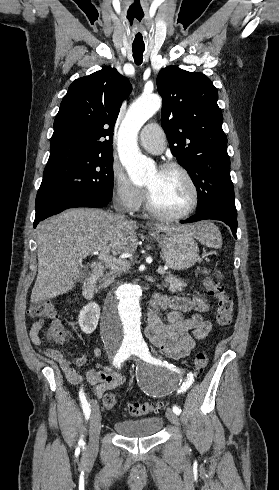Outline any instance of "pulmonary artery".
Returning <instances> with one entry per match:
<instances>
[{
    "instance_id": "obj_1",
    "label": "pulmonary artery",
    "mask_w": 279,
    "mask_h": 490,
    "mask_svg": "<svg viewBox=\"0 0 279 490\" xmlns=\"http://www.w3.org/2000/svg\"><path fill=\"white\" fill-rule=\"evenodd\" d=\"M164 130L155 123L145 126L140 135L141 145L151 153L159 154L165 148Z\"/></svg>"
}]
</instances>
